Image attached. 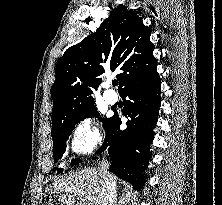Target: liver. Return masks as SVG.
Returning a JSON list of instances; mask_svg holds the SVG:
<instances>
[{"label":"liver","mask_w":222,"mask_h":205,"mask_svg":"<svg viewBox=\"0 0 222 205\" xmlns=\"http://www.w3.org/2000/svg\"><path fill=\"white\" fill-rule=\"evenodd\" d=\"M109 175L116 184L115 176ZM102 190L103 179L98 169L95 168H85L78 172L69 173L54 180L47 188L49 193L60 194L58 198L62 205H75L76 199L81 196V193H84L81 205H99Z\"/></svg>","instance_id":"obj_1"}]
</instances>
